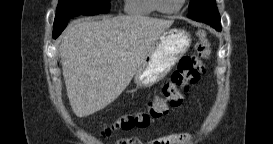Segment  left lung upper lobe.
<instances>
[{
	"instance_id": "obj_1",
	"label": "left lung upper lobe",
	"mask_w": 273,
	"mask_h": 144,
	"mask_svg": "<svg viewBox=\"0 0 273 144\" xmlns=\"http://www.w3.org/2000/svg\"><path fill=\"white\" fill-rule=\"evenodd\" d=\"M209 10H217L215 0H190L188 17L195 20Z\"/></svg>"
}]
</instances>
